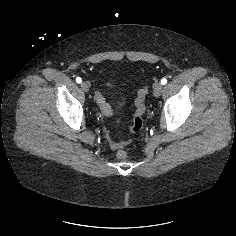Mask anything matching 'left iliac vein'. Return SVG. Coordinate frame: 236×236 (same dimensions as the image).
<instances>
[{"label": "left iliac vein", "mask_w": 236, "mask_h": 236, "mask_svg": "<svg viewBox=\"0 0 236 236\" xmlns=\"http://www.w3.org/2000/svg\"><path fill=\"white\" fill-rule=\"evenodd\" d=\"M163 91V85L159 82H156L153 86V94L155 97H159Z\"/></svg>", "instance_id": "1"}]
</instances>
